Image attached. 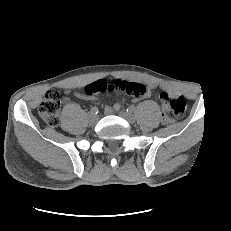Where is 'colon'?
I'll list each match as a JSON object with an SVG mask.
<instances>
[{
	"instance_id": "obj_1",
	"label": "colon",
	"mask_w": 231,
	"mask_h": 231,
	"mask_svg": "<svg viewBox=\"0 0 231 231\" xmlns=\"http://www.w3.org/2000/svg\"><path fill=\"white\" fill-rule=\"evenodd\" d=\"M104 92H122L133 97L143 96L147 88L139 83H128L120 80H98L85 87V94L93 96ZM161 98L166 111L175 117H181L187 108V102L183 96L174 91L163 92ZM61 106V92L56 89L49 90L39 106V115L43 121L51 127L58 124Z\"/></svg>"
}]
</instances>
